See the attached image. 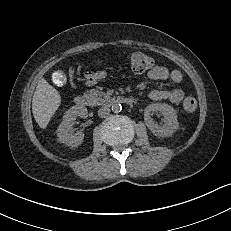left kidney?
Returning a JSON list of instances; mask_svg holds the SVG:
<instances>
[{"label": "left kidney", "mask_w": 231, "mask_h": 231, "mask_svg": "<svg viewBox=\"0 0 231 231\" xmlns=\"http://www.w3.org/2000/svg\"><path fill=\"white\" fill-rule=\"evenodd\" d=\"M160 112L164 116V124L158 125L151 117L152 113ZM144 120L148 129L157 137L171 136L179 127L176 110L166 103H153L144 110Z\"/></svg>", "instance_id": "1"}]
</instances>
